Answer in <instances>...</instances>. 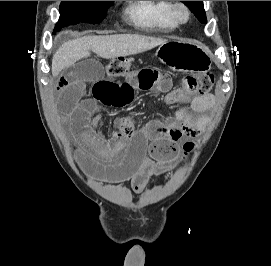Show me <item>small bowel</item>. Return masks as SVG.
I'll return each mask as SVG.
<instances>
[{"label":"small bowel","instance_id":"c3829d8e","mask_svg":"<svg viewBox=\"0 0 271 266\" xmlns=\"http://www.w3.org/2000/svg\"><path fill=\"white\" fill-rule=\"evenodd\" d=\"M57 71V108L79 146L80 167L104 181H128L138 193L151 178L175 168L178 142L203 130L205 112L214 102L209 94L192 97L183 89H171V78L147 64L129 68L120 82L107 78L95 60L60 66ZM152 89L165 93L166 105H182L169 121L153 120L136 130L133 119L126 117L114 123L108 137L99 131L98 105L124 107L135 90Z\"/></svg>","mask_w":271,"mask_h":266}]
</instances>
